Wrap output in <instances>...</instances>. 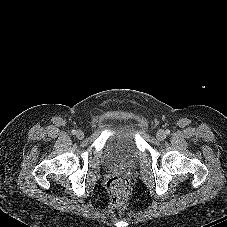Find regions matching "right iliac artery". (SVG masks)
<instances>
[{
	"label": "right iliac artery",
	"instance_id": "82829eb1",
	"mask_svg": "<svg viewBox=\"0 0 227 227\" xmlns=\"http://www.w3.org/2000/svg\"><path fill=\"white\" fill-rule=\"evenodd\" d=\"M76 132H77L76 130H72V134H73V135H75V134H76Z\"/></svg>",
	"mask_w": 227,
	"mask_h": 227
}]
</instances>
